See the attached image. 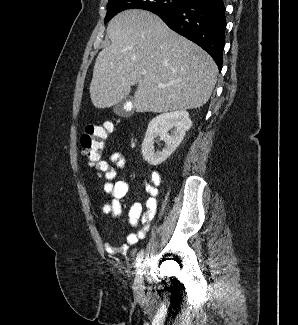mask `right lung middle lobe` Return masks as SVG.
<instances>
[{
    "instance_id": "1",
    "label": "right lung middle lobe",
    "mask_w": 298,
    "mask_h": 325,
    "mask_svg": "<svg viewBox=\"0 0 298 325\" xmlns=\"http://www.w3.org/2000/svg\"><path fill=\"white\" fill-rule=\"evenodd\" d=\"M190 0H112L107 4V14L104 23L116 14L126 9H145L151 12L178 9Z\"/></svg>"
}]
</instances>
